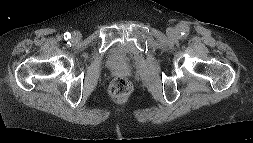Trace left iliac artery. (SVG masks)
<instances>
[{
	"instance_id": "left-iliac-artery-1",
	"label": "left iliac artery",
	"mask_w": 253,
	"mask_h": 143,
	"mask_svg": "<svg viewBox=\"0 0 253 143\" xmlns=\"http://www.w3.org/2000/svg\"><path fill=\"white\" fill-rule=\"evenodd\" d=\"M189 33V30L188 29H182L180 34H181V37L185 38Z\"/></svg>"
}]
</instances>
